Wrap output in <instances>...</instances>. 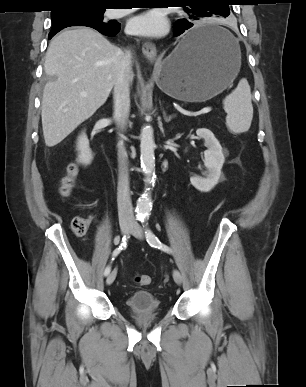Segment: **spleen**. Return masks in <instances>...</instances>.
<instances>
[{"label":"spleen","mask_w":306,"mask_h":387,"mask_svg":"<svg viewBox=\"0 0 306 387\" xmlns=\"http://www.w3.org/2000/svg\"><path fill=\"white\" fill-rule=\"evenodd\" d=\"M227 113L226 126L233 133L249 130L253 118L251 90L248 81L243 78L238 86L223 101Z\"/></svg>","instance_id":"obj_1"}]
</instances>
